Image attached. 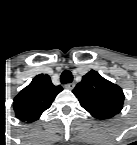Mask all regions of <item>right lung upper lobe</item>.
<instances>
[{"mask_svg": "<svg viewBox=\"0 0 137 145\" xmlns=\"http://www.w3.org/2000/svg\"><path fill=\"white\" fill-rule=\"evenodd\" d=\"M61 91L62 87L53 85L48 75L39 74L15 97L14 109L21 119L36 120Z\"/></svg>", "mask_w": 137, "mask_h": 145, "instance_id": "cb5924a9", "label": "right lung upper lobe"}]
</instances>
